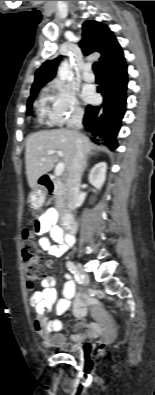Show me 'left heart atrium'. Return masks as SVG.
Wrapping results in <instances>:
<instances>
[{"label":"left heart atrium","instance_id":"left-heart-atrium-1","mask_svg":"<svg viewBox=\"0 0 155 395\" xmlns=\"http://www.w3.org/2000/svg\"><path fill=\"white\" fill-rule=\"evenodd\" d=\"M83 97L86 101H90L93 98V93L91 90H85L83 93Z\"/></svg>","mask_w":155,"mask_h":395}]
</instances>
